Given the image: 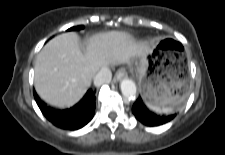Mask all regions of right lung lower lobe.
<instances>
[{
    "mask_svg": "<svg viewBox=\"0 0 225 155\" xmlns=\"http://www.w3.org/2000/svg\"><path fill=\"white\" fill-rule=\"evenodd\" d=\"M33 94L43 115L59 128L67 130L80 129L94 116L95 97L92 90H88L84 98L78 104L65 110L47 107V105L39 99L35 91Z\"/></svg>",
    "mask_w": 225,
    "mask_h": 155,
    "instance_id": "1",
    "label": "right lung lower lobe"
}]
</instances>
